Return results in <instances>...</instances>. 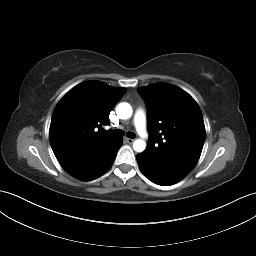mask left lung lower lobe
<instances>
[{
    "label": "left lung lower lobe",
    "instance_id": "obj_1",
    "mask_svg": "<svg viewBox=\"0 0 256 256\" xmlns=\"http://www.w3.org/2000/svg\"><path fill=\"white\" fill-rule=\"evenodd\" d=\"M137 162L141 172L153 183L168 186L182 180L185 176L169 171L163 166L151 161L143 152L137 155Z\"/></svg>",
    "mask_w": 256,
    "mask_h": 256
}]
</instances>
